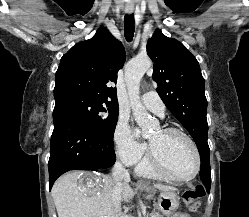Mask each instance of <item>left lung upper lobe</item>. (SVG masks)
Here are the masks:
<instances>
[{
    "label": "left lung upper lobe",
    "mask_w": 249,
    "mask_h": 217,
    "mask_svg": "<svg viewBox=\"0 0 249 217\" xmlns=\"http://www.w3.org/2000/svg\"><path fill=\"white\" fill-rule=\"evenodd\" d=\"M154 62L153 80L166 107L193 137L201 158V169L211 175L205 81L196 58L178 40L156 29L147 43Z\"/></svg>",
    "instance_id": "5c2ea615"
}]
</instances>
